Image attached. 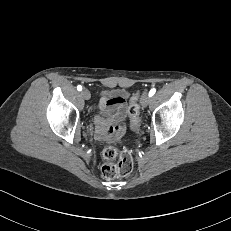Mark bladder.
I'll return each instance as SVG.
<instances>
[{"label":"bladder","instance_id":"obj_1","mask_svg":"<svg viewBox=\"0 0 231 231\" xmlns=\"http://www.w3.org/2000/svg\"><path fill=\"white\" fill-rule=\"evenodd\" d=\"M116 95L122 96V97H126L128 95L127 91L125 90H120L116 92Z\"/></svg>","mask_w":231,"mask_h":231}]
</instances>
